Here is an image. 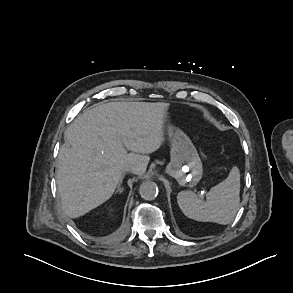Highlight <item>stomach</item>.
I'll use <instances>...</instances> for the list:
<instances>
[{
	"label": "stomach",
	"instance_id": "obj_1",
	"mask_svg": "<svg viewBox=\"0 0 293 293\" xmlns=\"http://www.w3.org/2000/svg\"><path fill=\"white\" fill-rule=\"evenodd\" d=\"M171 160L166 173L180 186L193 187L201 180L203 167L198 152L190 138L179 128L169 125Z\"/></svg>",
	"mask_w": 293,
	"mask_h": 293
}]
</instances>
